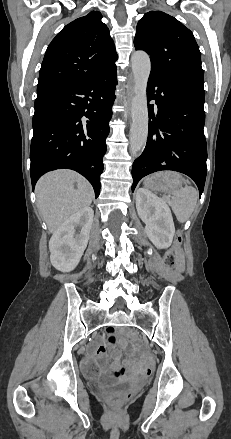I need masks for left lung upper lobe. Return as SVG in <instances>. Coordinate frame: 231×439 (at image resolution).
Masks as SVG:
<instances>
[{
	"label": "left lung upper lobe",
	"instance_id": "5c2ea615",
	"mask_svg": "<svg viewBox=\"0 0 231 439\" xmlns=\"http://www.w3.org/2000/svg\"><path fill=\"white\" fill-rule=\"evenodd\" d=\"M134 46L150 55V76L204 82L193 33L174 17L161 11L146 13L137 24Z\"/></svg>",
	"mask_w": 231,
	"mask_h": 439
}]
</instances>
